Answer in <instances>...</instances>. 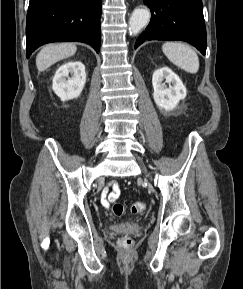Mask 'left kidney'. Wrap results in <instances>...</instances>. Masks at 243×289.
<instances>
[{"mask_svg": "<svg viewBox=\"0 0 243 289\" xmlns=\"http://www.w3.org/2000/svg\"><path fill=\"white\" fill-rule=\"evenodd\" d=\"M152 85L154 88L153 98L156 105L166 111L173 110L179 101L187 95L186 88L178 75L168 67H162L154 71Z\"/></svg>", "mask_w": 243, "mask_h": 289, "instance_id": "obj_1", "label": "left kidney"}]
</instances>
